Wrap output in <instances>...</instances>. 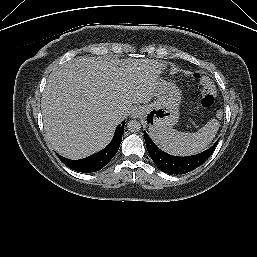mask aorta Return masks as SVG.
Segmentation results:
<instances>
[{
	"mask_svg": "<svg viewBox=\"0 0 257 257\" xmlns=\"http://www.w3.org/2000/svg\"><path fill=\"white\" fill-rule=\"evenodd\" d=\"M127 129L133 133L138 132L141 129V124L137 120H130L127 123Z\"/></svg>",
	"mask_w": 257,
	"mask_h": 257,
	"instance_id": "1",
	"label": "aorta"
}]
</instances>
